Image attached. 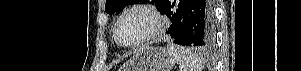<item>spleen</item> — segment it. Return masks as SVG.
Segmentation results:
<instances>
[{
    "label": "spleen",
    "mask_w": 301,
    "mask_h": 71,
    "mask_svg": "<svg viewBox=\"0 0 301 71\" xmlns=\"http://www.w3.org/2000/svg\"><path fill=\"white\" fill-rule=\"evenodd\" d=\"M167 51L179 64V71H202L204 68L201 57L189 49L169 43Z\"/></svg>",
    "instance_id": "spleen-1"
}]
</instances>
